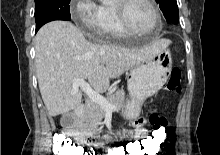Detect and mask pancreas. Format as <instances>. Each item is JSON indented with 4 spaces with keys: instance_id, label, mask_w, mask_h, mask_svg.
I'll return each mask as SVG.
<instances>
[{
    "instance_id": "1",
    "label": "pancreas",
    "mask_w": 220,
    "mask_h": 155,
    "mask_svg": "<svg viewBox=\"0 0 220 155\" xmlns=\"http://www.w3.org/2000/svg\"><path fill=\"white\" fill-rule=\"evenodd\" d=\"M107 101L111 105L116 106V110H123L125 108V93L123 91H118L113 96L107 98ZM105 114V109L99 104L90 101L86 105L85 112L81 117L80 127L85 131L95 133L97 128L102 124Z\"/></svg>"
}]
</instances>
